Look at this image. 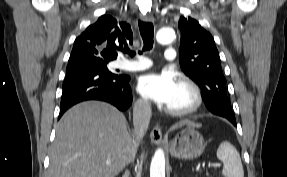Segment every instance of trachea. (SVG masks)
Segmentation results:
<instances>
[{
    "label": "trachea",
    "instance_id": "3493384b",
    "mask_svg": "<svg viewBox=\"0 0 287 177\" xmlns=\"http://www.w3.org/2000/svg\"><path fill=\"white\" fill-rule=\"evenodd\" d=\"M138 25H139L140 34H141V37L143 39V44H144L143 51L151 50L153 47V37H154L153 24L151 22L139 21ZM123 52L128 53L131 57L135 55V52L130 51L128 47H125V49H123ZM139 53L141 54L142 52H139Z\"/></svg>",
    "mask_w": 287,
    "mask_h": 177
}]
</instances>
